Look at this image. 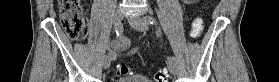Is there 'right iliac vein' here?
I'll return each instance as SVG.
<instances>
[{"label":"right iliac vein","instance_id":"63e3f726","mask_svg":"<svg viewBox=\"0 0 279 82\" xmlns=\"http://www.w3.org/2000/svg\"><path fill=\"white\" fill-rule=\"evenodd\" d=\"M122 16H123L122 11L120 9H117L114 13V21L116 23L121 22ZM110 64H111V57L105 56L103 60V68L107 69L110 66Z\"/></svg>","mask_w":279,"mask_h":82}]
</instances>
